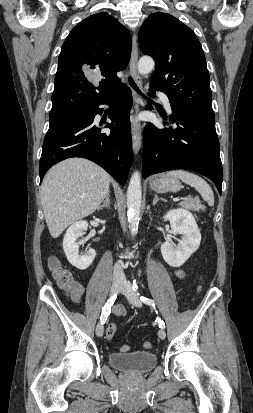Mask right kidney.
Returning a JSON list of instances; mask_svg holds the SVG:
<instances>
[{
  "instance_id": "obj_1",
  "label": "right kidney",
  "mask_w": 253,
  "mask_h": 413,
  "mask_svg": "<svg viewBox=\"0 0 253 413\" xmlns=\"http://www.w3.org/2000/svg\"><path fill=\"white\" fill-rule=\"evenodd\" d=\"M87 228L88 223L86 221L75 222L67 229L63 239V250L68 261L80 270L87 269L96 256L94 249H89L85 254L79 253V245L76 240Z\"/></svg>"
}]
</instances>
